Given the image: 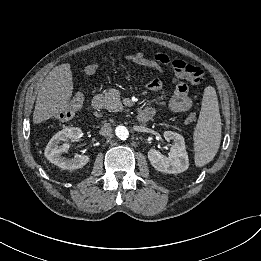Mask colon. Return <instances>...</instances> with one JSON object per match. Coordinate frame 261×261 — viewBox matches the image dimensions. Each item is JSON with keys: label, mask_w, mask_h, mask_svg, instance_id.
I'll return each mask as SVG.
<instances>
[{"label": "colon", "mask_w": 261, "mask_h": 261, "mask_svg": "<svg viewBox=\"0 0 261 261\" xmlns=\"http://www.w3.org/2000/svg\"><path fill=\"white\" fill-rule=\"evenodd\" d=\"M167 65L173 70L176 76L181 79H185L193 84H199L204 81V72L197 66L180 59H170ZM145 66L148 68H158L159 64L154 61H148ZM84 100L85 95L83 92H75L67 107L63 109L57 117L67 118L68 116H74L83 106ZM193 118L194 116H189L188 121L191 122Z\"/></svg>", "instance_id": "colon-1"}]
</instances>
